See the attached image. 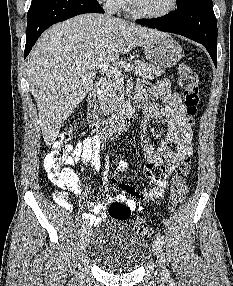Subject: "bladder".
Here are the masks:
<instances>
[{"label": "bladder", "mask_w": 233, "mask_h": 286, "mask_svg": "<svg viewBox=\"0 0 233 286\" xmlns=\"http://www.w3.org/2000/svg\"><path fill=\"white\" fill-rule=\"evenodd\" d=\"M91 261L109 273H129L149 258L147 240L128 224L116 220L100 226L88 243Z\"/></svg>", "instance_id": "31cf9c89"}]
</instances>
